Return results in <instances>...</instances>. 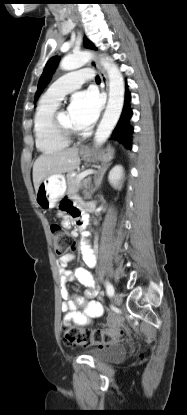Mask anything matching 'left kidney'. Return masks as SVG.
Returning <instances> with one entry per match:
<instances>
[{"mask_svg":"<svg viewBox=\"0 0 187 415\" xmlns=\"http://www.w3.org/2000/svg\"><path fill=\"white\" fill-rule=\"evenodd\" d=\"M124 177L123 167L121 165L114 166L108 175V180L114 188H120Z\"/></svg>","mask_w":187,"mask_h":415,"instance_id":"5707ae66","label":"left kidney"}]
</instances>
